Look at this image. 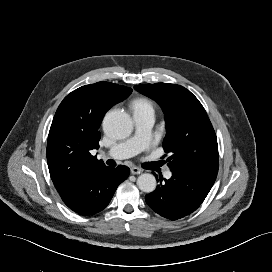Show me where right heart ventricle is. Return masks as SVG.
<instances>
[{
  "instance_id": "obj_1",
  "label": "right heart ventricle",
  "mask_w": 272,
  "mask_h": 272,
  "mask_svg": "<svg viewBox=\"0 0 272 272\" xmlns=\"http://www.w3.org/2000/svg\"><path fill=\"white\" fill-rule=\"evenodd\" d=\"M134 113H153L154 114V104L146 97H140L135 99L131 104Z\"/></svg>"
}]
</instances>
